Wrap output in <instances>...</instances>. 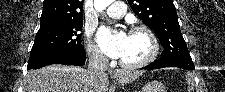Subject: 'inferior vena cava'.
Wrapping results in <instances>:
<instances>
[{
    "instance_id": "inferior-vena-cava-1",
    "label": "inferior vena cava",
    "mask_w": 225,
    "mask_h": 92,
    "mask_svg": "<svg viewBox=\"0 0 225 92\" xmlns=\"http://www.w3.org/2000/svg\"><path fill=\"white\" fill-rule=\"evenodd\" d=\"M88 71L92 74L105 73L108 69V59L100 51L90 49L88 51Z\"/></svg>"
}]
</instances>
